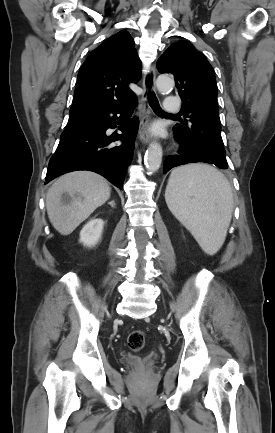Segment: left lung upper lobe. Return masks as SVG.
I'll use <instances>...</instances> for the list:
<instances>
[{
    "label": "left lung upper lobe",
    "instance_id": "left-lung-upper-lobe-1",
    "mask_svg": "<svg viewBox=\"0 0 275 433\" xmlns=\"http://www.w3.org/2000/svg\"><path fill=\"white\" fill-rule=\"evenodd\" d=\"M161 73H172L182 99L180 120L173 128L184 151L197 162L227 169L212 66L189 41L172 44L157 61Z\"/></svg>",
    "mask_w": 275,
    "mask_h": 433
}]
</instances>
